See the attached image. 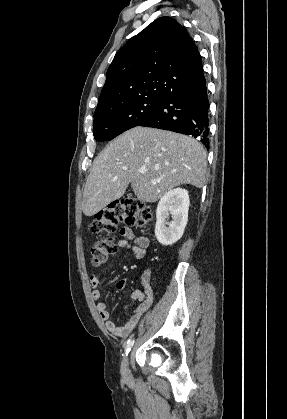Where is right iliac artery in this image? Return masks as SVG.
<instances>
[{"mask_svg": "<svg viewBox=\"0 0 287 419\" xmlns=\"http://www.w3.org/2000/svg\"><path fill=\"white\" fill-rule=\"evenodd\" d=\"M134 345V339H129L127 341L126 347H125V353L128 355L129 351L131 350L132 346Z\"/></svg>", "mask_w": 287, "mask_h": 419, "instance_id": "82829eb1", "label": "right iliac artery"}]
</instances>
